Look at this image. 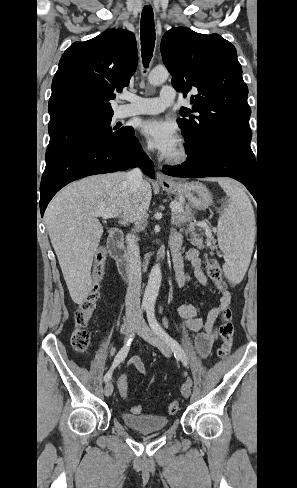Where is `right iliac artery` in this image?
<instances>
[{"instance_id":"right-iliac-artery-1","label":"right iliac artery","mask_w":297,"mask_h":488,"mask_svg":"<svg viewBox=\"0 0 297 488\" xmlns=\"http://www.w3.org/2000/svg\"><path fill=\"white\" fill-rule=\"evenodd\" d=\"M143 310V309H142ZM134 335V334H133ZM133 335H131V337L128 339L127 343L123 346V348L118 352V354L116 355L114 361H113V364L111 366V368L109 369V371L105 374L104 376V381L105 382H108L110 379H111V376H112V373H113V370L123 361L125 360V358L127 357V354L129 352V349H130V345H131V342L133 340Z\"/></svg>"}]
</instances>
